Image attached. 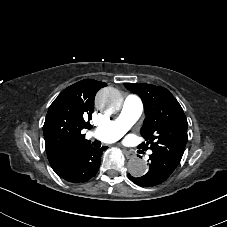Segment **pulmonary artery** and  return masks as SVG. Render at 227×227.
Wrapping results in <instances>:
<instances>
[{"label":"pulmonary artery","instance_id":"obj_1","mask_svg":"<svg viewBox=\"0 0 227 227\" xmlns=\"http://www.w3.org/2000/svg\"><path fill=\"white\" fill-rule=\"evenodd\" d=\"M141 100L135 94L128 95L123 103L120 115L104 124L99 130L89 128L85 135L87 138H96L104 141H114L122 137L136 122L141 113Z\"/></svg>","mask_w":227,"mask_h":227}]
</instances>
